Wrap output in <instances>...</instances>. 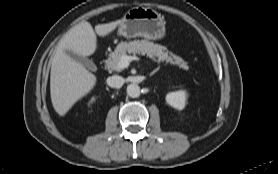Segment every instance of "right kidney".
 Returning <instances> with one entry per match:
<instances>
[{"label":"right kidney","instance_id":"ca27d5eb","mask_svg":"<svg viewBox=\"0 0 278 174\" xmlns=\"http://www.w3.org/2000/svg\"><path fill=\"white\" fill-rule=\"evenodd\" d=\"M95 101V98L93 97L91 100H90V103H93Z\"/></svg>","mask_w":278,"mask_h":174}]
</instances>
